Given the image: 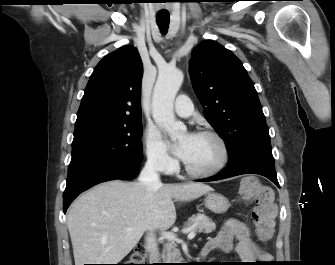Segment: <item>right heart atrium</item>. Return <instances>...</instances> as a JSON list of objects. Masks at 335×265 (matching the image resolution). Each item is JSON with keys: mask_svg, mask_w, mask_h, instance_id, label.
I'll use <instances>...</instances> for the list:
<instances>
[{"mask_svg": "<svg viewBox=\"0 0 335 265\" xmlns=\"http://www.w3.org/2000/svg\"><path fill=\"white\" fill-rule=\"evenodd\" d=\"M144 151L147 163L155 170L168 173L174 169L175 161L155 127H147L144 133Z\"/></svg>", "mask_w": 335, "mask_h": 265, "instance_id": "obj_1", "label": "right heart atrium"}]
</instances>
